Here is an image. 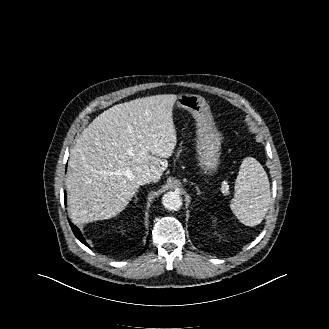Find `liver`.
<instances>
[{
	"label": "liver",
	"mask_w": 329,
	"mask_h": 329,
	"mask_svg": "<svg viewBox=\"0 0 329 329\" xmlns=\"http://www.w3.org/2000/svg\"><path fill=\"white\" fill-rule=\"evenodd\" d=\"M177 95L143 97L96 117L70 150L65 186L72 222L88 223L123 211L143 172L158 182L176 146L172 110Z\"/></svg>",
	"instance_id": "obj_1"
}]
</instances>
